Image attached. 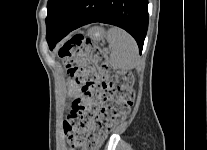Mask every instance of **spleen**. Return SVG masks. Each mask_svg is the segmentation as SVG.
I'll return each mask as SVG.
<instances>
[{
    "mask_svg": "<svg viewBox=\"0 0 207 150\" xmlns=\"http://www.w3.org/2000/svg\"><path fill=\"white\" fill-rule=\"evenodd\" d=\"M107 42L112 50L110 62L113 68L127 71L138 65V46L125 30L110 28L107 32Z\"/></svg>",
    "mask_w": 207,
    "mask_h": 150,
    "instance_id": "1",
    "label": "spleen"
}]
</instances>
